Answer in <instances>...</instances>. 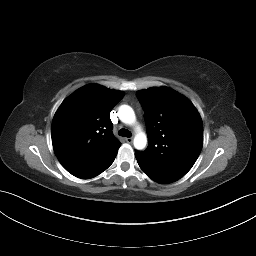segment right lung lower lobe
<instances>
[{
  "mask_svg": "<svg viewBox=\"0 0 256 256\" xmlns=\"http://www.w3.org/2000/svg\"><path fill=\"white\" fill-rule=\"evenodd\" d=\"M116 155H117V152L105 159L96 161L86 166L79 167L69 172L72 175L81 179L93 178L99 175L100 173H102L104 170H106L113 163Z\"/></svg>",
  "mask_w": 256,
  "mask_h": 256,
  "instance_id": "obj_1",
  "label": "right lung lower lobe"
}]
</instances>
